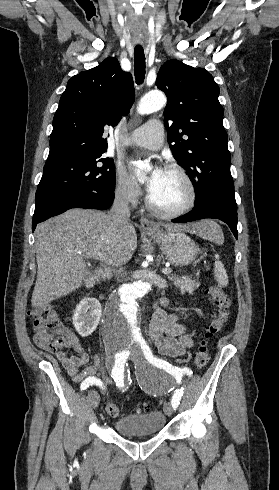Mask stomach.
<instances>
[{"instance_id": "1", "label": "stomach", "mask_w": 279, "mask_h": 490, "mask_svg": "<svg viewBox=\"0 0 279 490\" xmlns=\"http://www.w3.org/2000/svg\"><path fill=\"white\" fill-rule=\"evenodd\" d=\"M158 226L159 232H146V234L156 240L169 264L189 266L195 262L198 256V248L195 242L184 234V230H169L166 226L165 230H160L162 224H158Z\"/></svg>"}]
</instances>
